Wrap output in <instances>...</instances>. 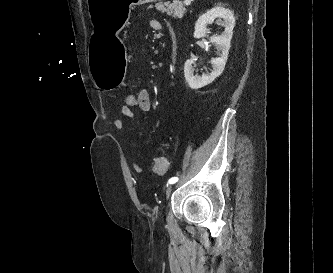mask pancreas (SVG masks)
<instances>
[{
    "instance_id": "obj_1",
    "label": "pancreas",
    "mask_w": 333,
    "mask_h": 273,
    "mask_svg": "<svg viewBox=\"0 0 333 273\" xmlns=\"http://www.w3.org/2000/svg\"><path fill=\"white\" fill-rule=\"evenodd\" d=\"M155 7L157 10L163 13L166 12L167 15L178 19L183 18L184 14L186 13V8L184 7L183 3L178 0H174L173 3L159 2L155 5Z\"/></svg>"
}]
</instances>
